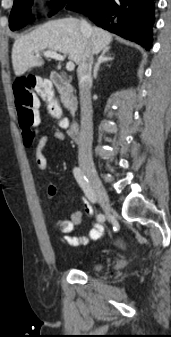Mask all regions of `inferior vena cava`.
<instances>
[{
	"label": "inferior vena cava",
	"mask_w": 171,
	"mask_h": 337,
	"mask_svg": "<svg viewBox=\"0 0 171 337\" xmlns=\"http://www.w3.org/2000/svg\"><path fill=\"white\" fill-rule=\"evenodd\" d=\"M81 30L83 32L91 31L90 24L84 20L81 21ZM93 53L87 49L84 53L82 61L78 66L77 74L80 90V106H81V130L80 140L78 143V159L81 163L92 164V140H93V122H92V71Z\"/></svg>",
	"instance_id": "1"
}]
</instances>
